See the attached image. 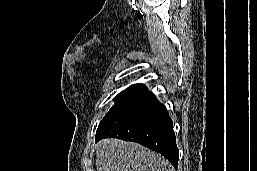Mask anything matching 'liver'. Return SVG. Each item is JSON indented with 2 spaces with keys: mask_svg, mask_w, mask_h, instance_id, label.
I'll list each match as a JSON object with an SVG mask.
<instances>
[{
  "mask_svg": "<svg viewBox=\"0 0 257 171\" xmlns=\"http://www.w3.org/2000/svg\"><path fill=\"white\" fill-rule=\"evenodd\" d=\"M97 171H174L160 154L144 146L118 139H104L97 145Z\"/></svg>",
  "mask_w": 257,
  "mask_h": 171,
  "instance_id": "1",
  "label": "liver"
}]
</instances>
